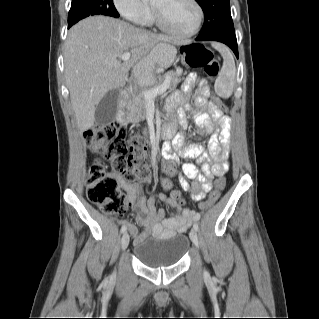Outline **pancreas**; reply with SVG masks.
<instances>
[{
	"label": "pancreas",
	"instance_id": "cf45deb5",
	"mask_svg": "<svg viewBox=\"0 0 319 319\" xmlns=\"http://www.w3.org/2000/svg\"><path fill=\"white\" fill-rule=\"evenodd\" d=\"M169 76L170 84L169 91H174L178 84L183 80V71L181 68H177L176 71H170L160 78L159 82L154 81L150 86V89H154L162 85L167 77ZM128 109V121L134 124H138L140 121L146 118V99L144 97V92L135 91L132 93L131 99L127 103Z\"/></svg>",
	"mask_w": 319,
	"mask_h": 319
}]
</instances>
